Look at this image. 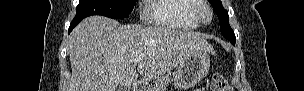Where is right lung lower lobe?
Returning <instances> with one entry per match:
<instances>
[{"instance_id": "right-lung-lower-lobe-1", "label": "right lung lower lobe", "mask_w": 304, "mask_h": 91, "mask_svg": "<svg viewBox=\"0 0 304 91\" xmlns=\"http://www.w3.org/2000/svg\"><path fill=\"white\" fill-rule=\"evenodd\" d=\"M83 19H84V18H77V17H75V18L73 19V21L71 22V24H70V27H69V29H68V33H70V31H72L73 28H74L78 23H80Z\"/></svg>"}]
</instances>
